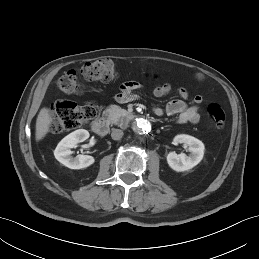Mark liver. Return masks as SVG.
Returning a JSON list of instances; mask_svg holds the SVG:
<instances>
[{
	"label": "liver",
	"mask_w": 259,
	"mask_h": 259,
	"mask_svg": "<svg viewBox=\"0 0 259 259\" xmlns=\"http://www.w3.org/2000/svg\"><path fill=\"white\" fill-rule=\"evenodd\" d=\"M51 123H52V118L49 114V109L45 107L42 108L36 120V132H35L36 141H40L46 136V134L49 132Z\"/></svg>",
	"instance_id": "obj_1"
}]
</instances>
